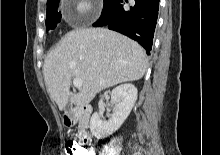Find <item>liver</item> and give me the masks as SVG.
<instances>
[{
    "label": "liver",
    "mask_w": 220,
    "mask_h": 155,
    "mask_svg": "<svg viewBox=\"0 0 220 155\" xmlns=\"http://www.w3.org/2000/svg\"><path fill=\"white\" fill-rule=\"evenodd\" d=\"M147 66L145 50L137 42L106 28H83L68 32L48 53L43 75L62 111L68 102L85 106L106 88L141 79ZM74 78L83 83L78 94L70 93Z\"/></svg>",
    "instance_id": "6515ba94"
}]
</instances>
